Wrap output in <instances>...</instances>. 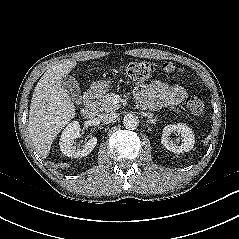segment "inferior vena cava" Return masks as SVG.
<instances>
[{
	"instance_id": "inferior-vena-cava-1",
	"label": "inferior vena cava",
	"mask_w": 239,
	"mask_h": 239,
	"mask_svg": "<svg viewBox=\"0 0 239 239\" xmlns=\"http://www.w3.org/2000/svg\"><path fill=\"white\" fill-rule=\"evenodd\" d=\"M117 114L114 112H110V113H104L99 115V119L101 120V122L103 123H112L117 119Z\"/></svg>"
}]
</instances>
